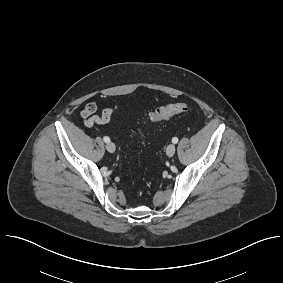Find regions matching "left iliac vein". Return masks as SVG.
<instances>
[{
	"mask_svg": "<svg viewBox=\"0 0 283 283\" xmlns=\"http://www.w3.org/2000/svg\"><path fill=\"white\" fill-rule=\"evenodd\" d=\"M176 147L174 144H169L166 148V154L168 157H172L175 154Z\"/></svg>",
	"mask_w": 283,
	"mask_h": 283,
	"instance_id": "4c4485c4",
	"label": "left iliac vein"
}]
</instances>
